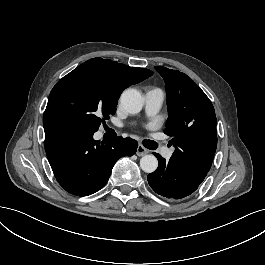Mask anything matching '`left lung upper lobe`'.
Returning <instances> with one entry per match:
<instances>
[{
	"label": "left lung upper lobe",
	"mask_w": 265,
	"mask_h": 265,
	"mask_svg": "<svg viewBox=\"0 0 265 265\" xmlns=\"http://www.w3.org/2000/svg\"><path fill=\"white\" fill-rule=\"evenodd\" d=\"M155 69L166 83L169 117L164 132L175 147L170 160L203 181L216 147V116L206 94L186 74L162 66Z\"/></svg>",
	"instance_id": "obj_1"
}]
</instances>
